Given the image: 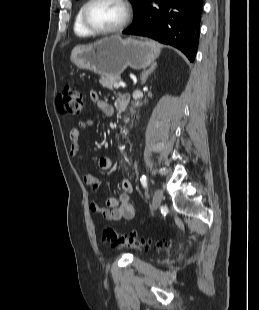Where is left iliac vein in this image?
<instances>
[{"label":"left iliac vein","mask_w":259,"mask_h":310,"mask_svg":"<svg viewBox=\"0 0 259 310\" xmlns=\"http://www.w3.org/2000/svg\"><path fill=\"white\" fill-rule=\"evenodd\" d=\"M163 199V192L160 188H157L154 193V204L152 210L155 211L161 205Z\"/></svg>","instance_id":"obj_1"}]
</instances>
